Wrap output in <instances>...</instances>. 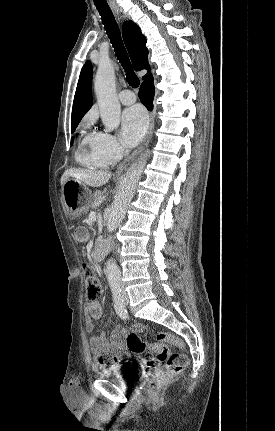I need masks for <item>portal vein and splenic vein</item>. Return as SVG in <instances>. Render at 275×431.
<instances>
[{"label":"portal vein and splenic vein","mask_w":275,"mask_h":431,"mask_svg":"<svg viewBox=\"0 0 275 431\" xmlns=\"http://www.w3.org/2000/svg\"><path fill=\"white\" fill-rule=\"evenodd\" d=\"M89 219L93 220V221L96 220V213L95 212H90Z\"/></svg>","instance_id":"obj_1"}]
</instances>
